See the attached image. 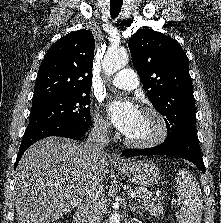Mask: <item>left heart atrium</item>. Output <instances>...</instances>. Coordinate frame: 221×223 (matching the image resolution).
Returning a JSON list of instances; mask_svg holds the SVG:
<instances>
[{
  "mask_svg": "<svg viewBox=\"0 0 221 223\" xmlns=\"http://www.w3.org/2000/svg\"><path fill=\"white\" fill-rule=\"evenodd\" d=\"M107 112L112 123L125 135L133 129L140 115L139 109L132 101H111Z\"/></svg>",
  "mask_w": 221,
  "mask_h": 223,
  "instance_id": "obj_1",
  "label": "left heart atrium"
}]
</instances>
